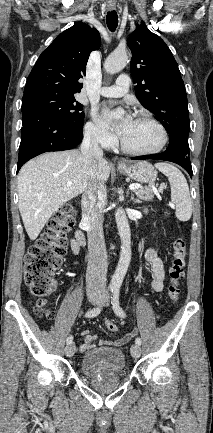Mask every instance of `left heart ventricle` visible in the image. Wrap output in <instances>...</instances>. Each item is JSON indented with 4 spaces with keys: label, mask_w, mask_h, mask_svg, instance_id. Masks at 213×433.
<instances>
[{
    "label": "left heart ventricle",
    "mask_w": 213,
    "mask_h": 433,
    "mask_svg": "<svg viewBox=\"0 0 213 433\" xmlns=\"http://www.w3.org/2000/svg\"><path fill=\"white\" fill-rule=\"evenodd\" d=\"M121 139L131 149L148 150L158 145L160 134L151 123L135 119L121 136Z\"/></svg>",
    "instance_id": "b2bd125f"
}]
</instances>
